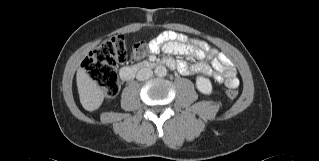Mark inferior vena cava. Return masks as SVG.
I'll use <instances>...</instances> for the list:
<instances>
[{"label": "inferior vena cava", "instance_id": "1", "mask_svg": "<svg viewBox=\"0 0 319 161\" xmlns=\"http://www.w3.org/2000/svg\"><path fill=\"white\" fill-rule=\"evenodd\" d=\"M153 75V71L149 68H142L137 72L136 79L139 81L147 80Z\"/></svg>", "mask_w": 319, "mask_h": 161}]
</instances>
